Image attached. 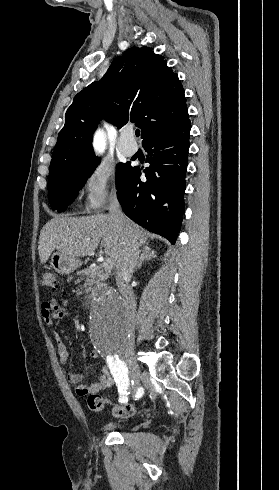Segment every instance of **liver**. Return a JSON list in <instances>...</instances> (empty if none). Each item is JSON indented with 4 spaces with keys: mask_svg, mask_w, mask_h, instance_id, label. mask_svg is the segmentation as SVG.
Returning <instances> with one entry per match:
<instances>
[{
    "mask_svg": "<svg viewBox=\"0 0 279 490\" xmlns=\"http://www.w3.org/2000/svg\"><path fill=\"white\" fill-rule=\"evenodd\" d=\"M134 236L139 246L149 244L148 236L143 228L128 220L126 226L118 228L107 214L87 216V218H65L56 216L43 226L39 238V258L46 264L53 250H58L70 258H84L95 252L101 242L104 252L118 266L125 256L126 242Z\"/></svg>",
    "mask_w": 279,
    "mask_h": 490,
    "instance_id": "6515ba94",
    "label": "liver"
}]
</instances>
